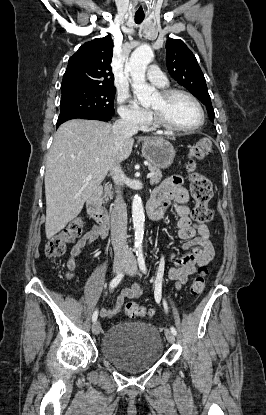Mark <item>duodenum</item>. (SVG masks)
Masks as SVG:
<instances>
[{
	"label": "duodenum",
	"mask_w": 266,
	"mask_h": 415,
	"mask_svg": "<svg viewBox=\"0 0 266 415\" xmlns=\"http://www.w3.org/2000/svg\"><path fill=\"white\" fill-rule=\"evenodd\" d=\"M103 188L97 186L89 196L86 202V208L89 216L105 231L111 226V216L101 208V199Z\"/></svg>",
	"instance_id": "obj_1"
}]
</instances>
